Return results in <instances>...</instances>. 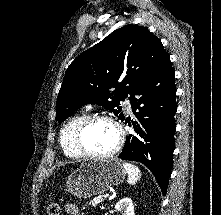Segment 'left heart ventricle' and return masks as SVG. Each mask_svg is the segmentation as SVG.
<instances>
[{
	"instance_id": "left-heart-ventricle-1",
	"label": "left heart ventricle",
	"mask_w": 221,
	"mask_h": 215,
	"mask_svg": "<svg viewBox=\"0 0 221 215\" xmlns=\"http://www.w3.org/2000/svg\"><path fill=\"white\" fill-rule=\"evenodd\" d=\"M117 141L114 126L107 121L93 123L84 135V145L93 153H105L111 150Z\"/></svg>"
}]
</instances>
